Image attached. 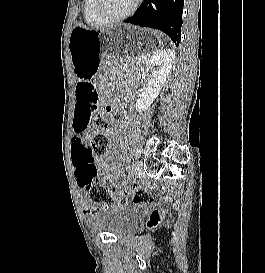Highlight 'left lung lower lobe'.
<instances>
[{
	"label": "left lung lower lobe",
	"mask_w": 265,
	"mask_h": 273,
	"mask_svg": "<svg viewBox=\"0 0 265 273\" xmlns=\"http://www.w3.org/2000/svg\"><path fill=\"white\" fill-rule=\"evenodd\" d=\"M184 0H145L126 23L163 31L178 46L181 39Z\"/></svg>",
	"instance_id": "0a47b994"
}]
</instances>
